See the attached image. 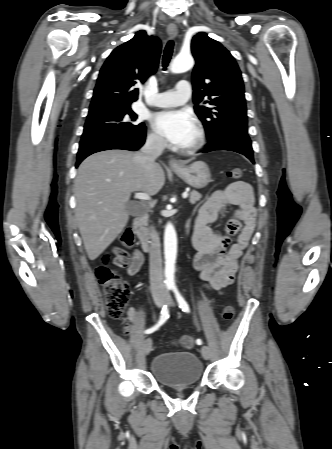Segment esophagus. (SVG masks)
I'll use <instances>...</instances> for the list:
<instances>
[{
    "mask_svg": "<svg viewBox=\"0 0 332 449\" xmlns=\"http://www.w3.org/2000/svg\"><path fill=\"white\" fill-rule=\"evenodd\" d=\"M167 33L171 38H175L178 34L177 26L175 24H169L167 26ZM169 165L172 168H181L182 167V163L175 158H170Z\"/></svg>",
    "mask_w": 332,
    "mask_h": 449,
    "instance_id": "esophagus-1",
    "label": "esophagus"
}]
</instances>
